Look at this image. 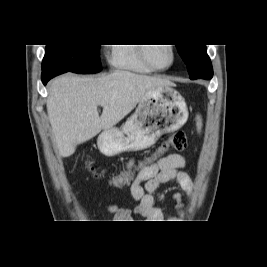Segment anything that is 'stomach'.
I'll return each instance as SVG.
<instances>
[{
	"label": "stomach",
	"instance_id": "1",
	"mask_svg": "<svg viewBox=\"0 0 267 267\" xmlns=\"http://www.w3.org/2000/svg\"><path fill=\"white\" fill-rule=\"evenodd\" d=\"M188 119L183 97L172 87L148 91L121 128L104 130L97 145L105 156L146 149L164 133L178 130Z\"/></svg>",
	"mask_w": 267,
	"mask_h": 267
}]
</instances>
